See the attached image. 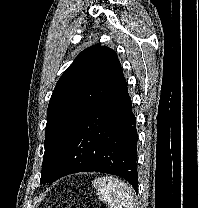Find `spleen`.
<instances>
[{
  "mask_svg": "<svg viewBox=\"0 0 199 208\" xmlns=\"http://www.w3.org/2000/svg\"><path fill=\"white\" fill-rule=\"evenodd\" d=\"M101 201L110 208H135L132 189L121 180L104 176L95 178L92 182Z\"/></svg>",
  "mask_w": 199,
  "mask_h": 208,
  "instance_id": "obj_1",
  "label": "spleen"
}]
</instances>
